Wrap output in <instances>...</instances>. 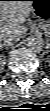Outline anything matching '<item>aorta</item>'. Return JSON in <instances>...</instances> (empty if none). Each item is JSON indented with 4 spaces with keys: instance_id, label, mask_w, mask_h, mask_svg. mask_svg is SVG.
<instances>
[{
    "instance_id": "762f6f07",
    "label": "aorta",
    "mask_w": 50,
    "mask_h": 111,
    "mask_svg": "<svg viewBox=\"0 0 50 111\" xmlns=\"http://www.w3.org/2000/svg\"><path fill=\"white\" fill-rule=\"evenodd\" d=\"M27 46L33 51L40 52L44 48V42L40 36L34 35L28 38Z\"/></svg>"
}]
</instances>
